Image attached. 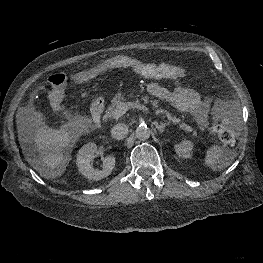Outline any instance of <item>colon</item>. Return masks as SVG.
<instances>
[{"instance_id":"1","label":"colon","mask_w":263,"mask_h":263,"mask_svg":"<svg viewBox=\"0 0 263 263\" xmlns=\"http://www.w3.org/2000/svg\"><path fill=\"white\" fill-rule=\"evenodd\" d=\"M115 68L130 69L133 72L149 78H180L186 77V70L178 65L167 63H144L135 58L118 55L110 57L91 68L67 76L63 72L53 74L49 78L50 91L54 103L58 104L64 94L66 85L71 83H83L98 75ZM214 130L217 132L219 139L226 145L234 144L237 134L232 126L230 119L221 112L214 113Z\"/></svg>"}]
</instances>
